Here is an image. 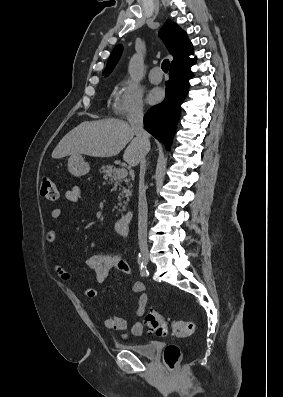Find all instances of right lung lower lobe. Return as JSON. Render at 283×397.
I'll list each match as a JSON object with an SVG mask.
<instances>
[{"instance_id": "1", "label": "right lung lower lobe", "mask_w": 283, "mask_h": 397, "mask_svg": "<svg viewBox=\"0 0 283 397\" xmlns=\"http://www.w3.org/2000/svg\"><path fill=\"white\" fill-rule=\"evenodd\" d=\"M196 59L170 67V79L166 82V98L151 108L144 116L145 129L169 149L180 116V105L188 92L190 67Z\"/></svg>"}]
</instances>
